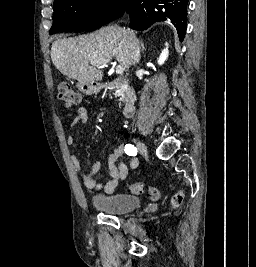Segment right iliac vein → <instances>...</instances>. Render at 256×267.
Returning <instances> with one entry per match:
<instances>
[{
  "mask_svg": "<svg viewBox=\"0 0 256 267\" xmlns=\"http://www.w3.org/2000/svg\"><path fill=\"white\" fill-rule=\"evenodd\" d=\"M136 146H137V149L140 153L145 154V155L148 154V149L142 141L138 140L136 142Z\"/></svg>",
  "mask_w": 256,
  "mask_h": 267,
  "instance_id": "obj_1",
  "label": "right iliac vein"
}]
</instances>
